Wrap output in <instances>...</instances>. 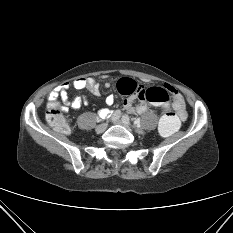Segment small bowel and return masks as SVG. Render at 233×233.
Returning <instances> with one entry per match:
<instances>
[{"label": "small bowel", "mask_w": 233, "mask_h": 233, "mask_svg": "<svg viewBox=\"0 0 233 233\" xmlns=\"http://www.w3.org/2000/svg\"><path fill=\"white\" fill-rule=\"evenodd\" d=\"M72 86L75 89H88L90 93L94 96H98L100 94L99 85L94 78H78L72 82ZM109 84H106L108 87ZM71 87V84L66 82L55 87L49 94V101H55L58 97L62 99V101L70 106V108L76 110L79 109L83 104L87 105L88 101L85 97H76L74 99H70L68 96V91ZM164 88L171 93L172 99L170 102L171 107L175 110L177 115L181 120H185L187 117V113L185 110V102L182 95L171 85H165ZM114 96L109 95L105 99V103L108 106H111L114 103ZM134 97H129L124 100V108L130 113H144L147 110V103L145 101H140L136 105L133 103ZM98 115L101 118H106L111 115V111L106 108H100L98 110Z\"/></svg>", "instance_id": "obj_1"}]
</instances>
